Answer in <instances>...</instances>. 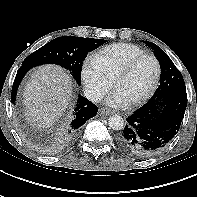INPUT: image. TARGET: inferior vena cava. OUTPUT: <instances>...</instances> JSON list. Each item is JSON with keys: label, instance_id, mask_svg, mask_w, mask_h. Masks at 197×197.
I'll use <instances>...</instances> for the list:
<instances>
[{"label": "inferior vena cava", "instance_id": "inferior-vena-cava-1", "mask_svg": "<svg viewBox=\"0 0 197 197\" xmlns=\"http://www.w3.org/2000/svg\"><path fill=\"white\" fill-rule=\"evenodd\" d=\"M85 97L92 101V102H100L103 98V95L101 92L93 90V89H86L84 91Z\"/></svg>", "mask_w": 197, "mask_h": 197}]
</instances>
